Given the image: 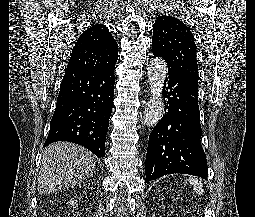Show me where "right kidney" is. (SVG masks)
I'll list each match as a JSON object with an SVG mask.
<instances>
[{
    "mask_svg": "<svg viewBox=\"0 0 255 217\" xmlns=\"http://www.w3.org/2000/svg\"><path fill=\"white\" fill-rule=\"evenodd\" d=\"M75 203H76L75 200H71V201H69V206H73Z\"/></svg>",
    "mask_w": 255,
    "mask_h": 217,
    "instance_id": "right-kidney-1",
    "label": "right kidney"
}]
</instances>
